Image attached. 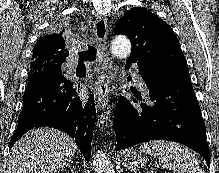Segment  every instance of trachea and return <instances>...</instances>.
Wrapping results in <instances>:
<instances>
[{
    "mask_svg": "<svg viewBox=\"0 0 219 173\" xmlns=\"http://www.w3.org/2000/svg\"><path fill=\"white\" fill-rule=\"evenodd\" d=\"M79 55V64L78 68H85V63L84 62H91L96 60L97 57V49L93 46H88L87 51H83L78 53Z\"/></svg>",
    "mask_w": 219,
    "mask_h": 173,
    "instance_id": "obj_1",
    "label": "trachea"
}]
</instances>
